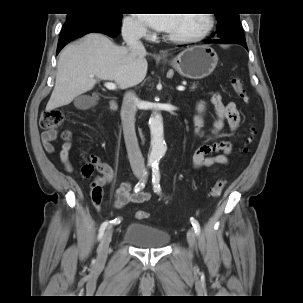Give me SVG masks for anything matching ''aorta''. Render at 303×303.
<instances>
[{"label": "aorta", "mask_w": 303, "mask_h": 303, "mask_svg": "<svg viewBox=\"0 0 303 303\" xmlns=\"http://www.w3.org/2000/svg\"><path fill=\"white\" fill-rule=\"evenodd\" d=\"M151 131L150 151L148 155V163L156 165L165 155L167 146L164 141L162 116L159 112H154L149 120Z\"/></svg>", "instance_id": "1"}]
</instances>
